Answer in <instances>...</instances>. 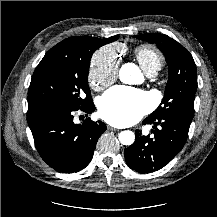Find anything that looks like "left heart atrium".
Masks as SVG:
<instances>
[{
  "mask_svg": "<svg viewBox=\"0 0 217 217\" xmlns=\"http://www.w3.org/2000/svg\"><path fill=\"white\" fill-rule=\"evenodd\" d=\"M150 99L146 92L125 86L107 91L99 102V114L106 122L127 126L138 121L148 110Z\"/></svg>",
  "mask_w": 217,
  "mask_h": 217,
  "instance_id": "obj_1",
  "label": "left heart atrium"
}]
</instances>
